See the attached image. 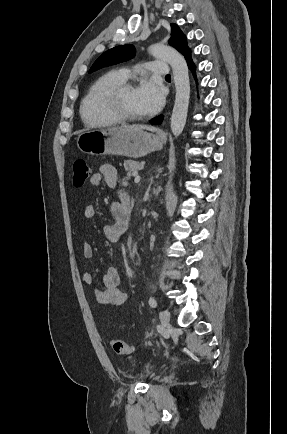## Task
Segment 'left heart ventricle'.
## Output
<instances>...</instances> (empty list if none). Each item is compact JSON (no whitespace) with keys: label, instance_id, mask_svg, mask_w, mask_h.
<instances>
[{"label":"left heart ventricle","instance_id":"left-heart-ventricle-1","mask_svg":"<svg viewBox=\"0 0 287 434\" xmlns=\"http://www.w3.org/2000/svg\"><path fill=\"white\" fill-rule=\"evenodd\" d=\"M122 105L125 111L132 115H144L136 96V89H128L122 96Z\"/></svg>","mask_w":287,"mask_h":434}]
</instances>
